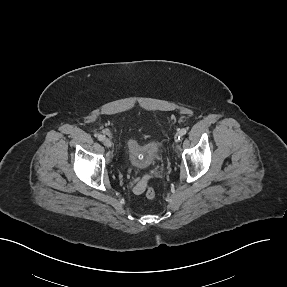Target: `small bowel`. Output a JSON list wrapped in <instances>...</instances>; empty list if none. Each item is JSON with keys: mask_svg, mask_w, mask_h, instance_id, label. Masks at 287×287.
Wrapping results in <instances>:
<instances>
[{"mask_svg": "<svg viewBox=\"0 0 287 287\" xmlns=\"http://www.w3.org/2000/svg\"><path fill=\"white\" fill-rule=\"evenodd\" d=\"M134 191L136 192V193H142V191H143V186L140 184V185H137L135 188H134Z\"/></svg>", "mask_w": 287, "mask_h": 287, "instance_id": "small-bowel-1", "label": "small bowel"}]
</instances>
